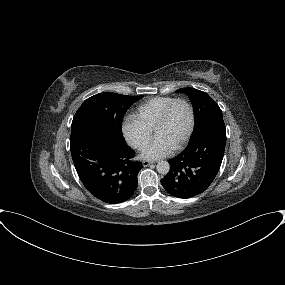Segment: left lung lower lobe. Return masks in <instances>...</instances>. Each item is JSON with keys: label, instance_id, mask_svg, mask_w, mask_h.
I'll use <instances>...</instances> for the list:
<instances>
[{"label": "left lung lower lobe", "instance_id": "0a47b994", "mask_svg": "<svg viewBox=\"0 0 285 285\" xmlns=\"http://www.w3.org/2000/svg\"><path fill=\"white\" fill-rule=\"evenodd\" d=\"M226 144L223 117L209 120L189 141L185 150L169 160L171 169L161 179L165 190L177 198L204 192L217 175Z\"/></svg>", "mask_w": 285, "mask_h": 285}]
</instances>
